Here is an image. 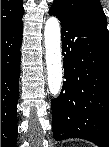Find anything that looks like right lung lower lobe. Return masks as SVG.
<instances>
[{"label": "right lung lower lobe", "mask_w": 109, "mask_h": 147, "mask_svg": "<svg viewBox=\"0 0 109 147\" xmlns=\"http://www.w3.org/2000/svg\"><path fill=\"white\" fill-rule=\"evenodd\" d=\"M22 19L1 31V146L17 142V102L20 76Z\"/></svg>", "instance_id": "obj_1"}]
</instances>
